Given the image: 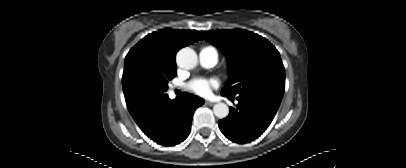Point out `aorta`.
<instances>
[{
	"label": "aorta",
	"instance_id": "aorta-1",
	"mask_svg": "<svg viewBox=\"0 0 406 168\" xmlns=\"http://www.w3.org/2000/svg\"><path fill=\"white\" fill-rule=\"evenodd\" d=\"M176 62L180 68L190 70L196 67L198 58L196 52L188 47L182 48L176 55ZM213 112L216 117L223 119L228 116L229 108L224 103H217L213 107Z\"/></svg>",
	"mask_w": 406,
	"mask_h": 168
}]
</instances>
